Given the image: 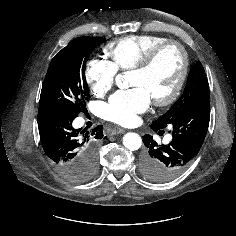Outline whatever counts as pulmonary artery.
<instances>
[{
	"instance_id": "e3ab8cb5",
	"label": "pulmonary artery",
	"mask_w": 236,
	"mask_h": 236,
	"mask_svg": "<svg viewBox=\"0 0 236 236\" xmlns=\"http://www.w3.org/2000/svg\"><path fill=\"white\" fill-rule=\"evenodd\" d=\"M171 139V137H167V141H169Z\"/></svg>"
}]
</instances>
